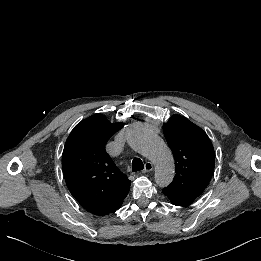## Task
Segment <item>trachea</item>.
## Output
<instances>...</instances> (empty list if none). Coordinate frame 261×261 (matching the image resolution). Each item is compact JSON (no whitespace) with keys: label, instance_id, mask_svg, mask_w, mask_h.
<instances>
[{"label":"trachea","instance_id":"1","mask_svg":"<svg viewBox=\"0 0 261 261\" xmlns=\"http://www.w3.org/2000/svg\"><path fill=\"white\" fill-rule=\"evenodd\" d=\"M131 166L133 172L141 171L144 168L143 162L139 158H134Z\"/></svg>","mask_w":261,"mask_h":261}]
</instances>
